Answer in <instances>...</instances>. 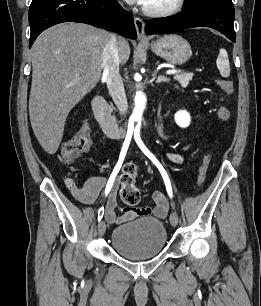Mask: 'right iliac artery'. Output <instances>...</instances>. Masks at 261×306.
Instances as JSON below:
<instances>
[{"label":"right iliac artery","instance_id":"82829eb1","mask_svg":"<svg viewBox=\"0 0 261 306\" xmlns=\"http://www.w3.org/2000/svg\"><path fill=\"white\" fill-rule=\"evenodd\" d=\"M132 133H133V129L132 130H129L127 135H126V138H125V141L123 143V147H122V150L120 152V157H119V160L110 176V179L107 183V186H106V191L107 193L109 192V190L111 189L112 187V184H113V181L117 175V173L119 172L120 168H121V165L123 163V160L125 158V155L127 153V150H128V147H129V144H130V141H131V138H132ZM103 215H104V207H101L98 211V221H101V219L103 218Z\"/></svg>","mask_w":261,"mask_h":306}]
</instances>
